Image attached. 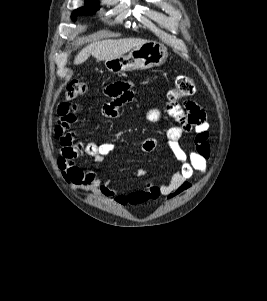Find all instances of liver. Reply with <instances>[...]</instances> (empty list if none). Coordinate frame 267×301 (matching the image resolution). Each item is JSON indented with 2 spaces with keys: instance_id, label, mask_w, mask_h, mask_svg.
I'll list each match as a JSON object with an SVG mask.
<instances>
[{
  "instance_id": "obj_1",
  "label": "liver",
  "mask_w": 267,
  "mask_h": 301,
  "mask_svg": "<svg viewBox=\"0 0 267 301\" xmlns=\"http://www.w3.org/2000/svg\"><path fill=\"white\" fill-rule=\"evenodd\" d=\"M147 40L140 38H126V39H109L97 41L83 48L75 57L74 63L76 65L84 63L90 55L95 57L98 61H108L123 56L125 53L138 47Z\"/></svg>"
}]
</instances>
